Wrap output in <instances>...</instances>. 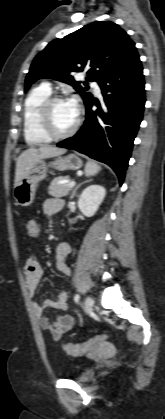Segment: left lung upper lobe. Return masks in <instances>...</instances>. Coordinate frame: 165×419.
<instances>
[{
    "label": "left lung upper lobe",
    "instance_id": "obj_1",
    "mask_svg": "<svg viewBox=\"0 0 165 419\" xmlns=\"http://www.w3.org/2000/svg\"><path fill=\"white\" fill-rule=\"evenodd\" d=\"M135 50V43L117 24L96 21L51 41L33 60L25 81V91L40 78H53L70 84L85 105L93 97L74 80V74L86 72L88 81H100ZM86 84V82H84Z\"/></svg>",
    "mask_w": 165,
    "mask_h": 419
}]
</instances>
